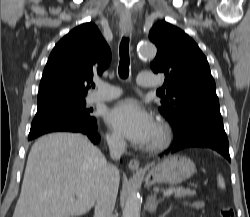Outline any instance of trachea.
<instances>
[{
	"label": "trachea",
	"instance_id": "trachea-1",
	"mask_svg": "<svg viewBox=\"0 0 250 217\" xmlns=\"http://www.w3.org/2000/svg\"><path fill=\"white\" fill-rule=\"evenodd\" d=\"M120 62L118 73L121 78H127L129 75V38L123 37L120 43Z\"/></svg>",
	"mask_w": 250,
	"mask_h": 217
}]
</instances>
